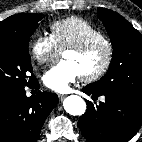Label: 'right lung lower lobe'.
I'll use <instances>...</instances> for the list:
<instances>
[{"mask_svg": "<svg viewBox=\"0 0 142 142\" xmlns=\"http://www.w3.org/2000/svg\"><path fill=\"white\" fill-rule=\"evenodd\" d=\"M30 88L39 89L36 80ZM56 94L38 91L27 97L18 90L0 101V142H36L47 116L58 104Z\"/></svg>", "mask_w": 142, "mask_h": 142, "instance_id": "1", "label": "right lung lower lobe"}]
</instances>
